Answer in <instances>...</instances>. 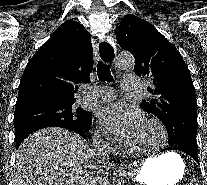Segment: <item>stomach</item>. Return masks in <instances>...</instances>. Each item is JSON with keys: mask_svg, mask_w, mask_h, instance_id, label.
<instances>
[{"mask_svg": "<svg viewBox=\"0 0 207 185\" xmlns=\"http://www.w3.org/2000/svg\"><path fill=\"white\" fill-rule=\"evenodd\" d=\"M185 164L177 153H165L147 159L135 180L145 185H175L184 176Z\"/></svg>", "mask_w": 207, "mask_h": 185, "instance_id": "obj_1", "label": "stomach"}]
</instances>
